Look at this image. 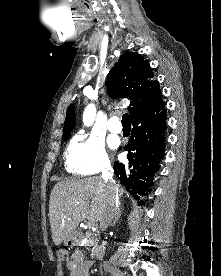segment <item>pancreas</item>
I'll return each instance as SVG.
<instances>
[{"label":"pancreas","instance_id":"obj_1","mask_svg":"<svg viewBox=\"0 0 221 276\" xmlns=\"http://www.w3.org/2000/svg\"><path fill=\"white\" fill-rule=\"evenodd\" d=\"M86 240L84 245L85 246H94V247H97V239L95 237L94 234H92L91 232H86L83 236H82V239L80 241V243L83 241V240Z\"/></svg>","mask_w":221,"mask_h":276}]
</instances>
